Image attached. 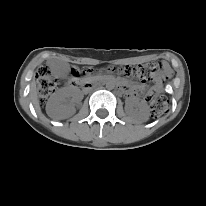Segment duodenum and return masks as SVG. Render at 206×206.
<instances>
[{"label":"duodenum","instance_id":"obj_1","mask_svg":"<svg viewBox=\"0 0 206 206\" xmlns=\"http://www.w3.org/2000/svg\"><path fill=\"white\" fill-rule=\"evenodd\" d=\"M72 85L76 86L77 88H84L85 90H89L92 87V83H85L83 81H79L78 79L72 80Z\"/></svg>","mask_w":206,"mask_h":206}]
</instances>
